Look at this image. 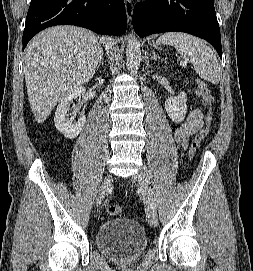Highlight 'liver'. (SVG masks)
Masks as SVG:
<instances>
[{
    "instance_id": "liver-1",
    "label": "liver",
    "mask_w": 253,
    "mask_h": 271,
    "mask_svg": "<svg viewBox=\"0 0 253 271\" xmlns=\"http://www.w3.org/2000/svg\"><path fill=\"white\" fill-rule=\"evenodd\" d=\"M102 52L94 33L68 25L48 28L28 43L24 75L38 123L47 119L68 92L93 77Z\"/></svg>"
}]
</instances>
